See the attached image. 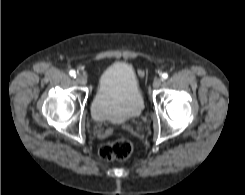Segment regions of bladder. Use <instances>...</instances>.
I'll return each mask as SVG.
<instances>
[{"instance_id":"1","label":"bladder","mask_w":245,"mask_h":195,"mask_svg":"<svg viewBox=\"0 0 245 195\" xmlns=\"http://www.w3.org/2000/svg\"><path fill=\"white\" fill-rule=\"evenodd\" d=\"M144 100L133 67L115 62L101 74L91 103L92 118L99 123H123L140 116Z\"/></svg>"}]
</instances>
